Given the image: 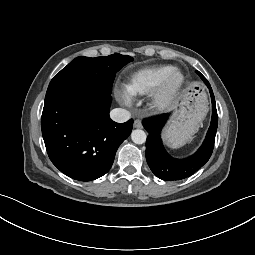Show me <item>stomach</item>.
Returning a JSON list of instances; mask_svg holds the SVG:
<instances>
[{"label": "stomach", "mask_w": 255, "mask_h": 255, "mask_svg": "<svg viewBox=\"0 0 255 255\" xmlns=\"http://www.w3.org/2000/svg\"><path fill=\"white\" fill-rule=\"evenodd\" d=\"M208 110V101L203 88L197 84L188 86L182 96L180 109L166 127L163 138L170 148H180L196 133Z\"/></svg>", "instance_id": "1"}]
</instances>
